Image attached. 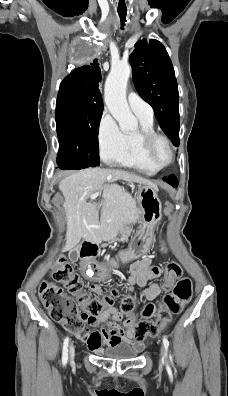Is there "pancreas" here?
<instances>
[{
  "label": "pancreas",
  "mask_w": 228,
  "mask_h": 396,
  "mask_svg": "<svg viewBox=\"0 0 228 396\" xmlns=\"http://www.w3.org/2000/svg\"><path fill=\"white\" fill-rule=\"evenodd\" d=\"M121 229H123V228H121ZM124 229H126V228H124ZM115 230H116V228H115ZM131 232H132L131 229H126L125 232L118 233L121 235H117V236H123V237H120V238L116 237L115 239L118 240L119 242L122 240V242L124 243L125 241L128 240L127 236H130ZM115 239H113L111 242L112 243L118 242Z\"/></svg>",
  "instance_id": "cf45deb5"
}]
</instances>
